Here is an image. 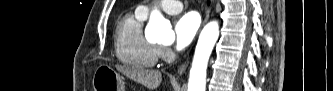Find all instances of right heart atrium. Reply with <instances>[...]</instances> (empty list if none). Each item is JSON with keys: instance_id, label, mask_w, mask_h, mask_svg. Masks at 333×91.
I'll return each mask as SVG.
<instances>
[{"instance_id": "obj_1", "label": "right heart atrium", "mask_w": 333, "mask_h": 91, "mask_svg": "<svg viewBox=\"0 0 333 91\" xmlns=\"http://www.w3.org/2000/svg\"><path fill=\"white\" fill-rule=\"evenodd\" d=\"M171 55H172V52L168 47H165V46L158 47L159 58H161L163 60H168V59H170Z\"/></svg>"}]
</instances>
